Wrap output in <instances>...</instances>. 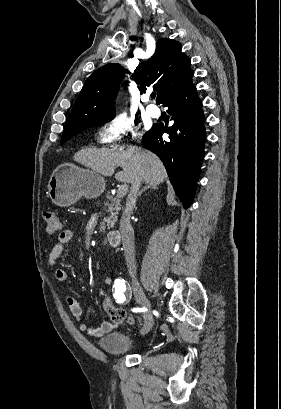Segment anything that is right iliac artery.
<instances>
[{"label": "right iliac artery", "instance_id": "obj_1", "mask_svg": "<svg viewBox=\"0 0 281 409\" xmlns=\"http://www.w3.org/2000/svg\"><path fill=\"white\" fill-rule=\"evenodd\" d=\"M113 296L117 303H127L130 301L132 296V291L129 283L124 279L118 278L113 284Z\"/></svg>", "mask_w": 281, "mask_h": 409}]
</instances>
